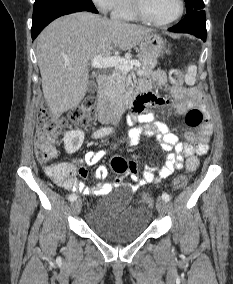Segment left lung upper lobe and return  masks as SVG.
I'll return each mask as SVG.
<instances>
[{
  "instance_id": "obj_1",
  "label": "left lung upper lobe",
  "mask_w": 233,
  "mask_h": 284,
  "mask_svg": "<svg viewBox=\"0 0 233 284\" xmlns=\"http://www.w3.org/2000/svg\"><path fill=\"white\" fill-rule=\"evenodd\" d=\"M185 2L187 9V15H185V18L195 14L197 10H202L204 8L203 0H185Z\"/></svg>"
}]
</instances>
